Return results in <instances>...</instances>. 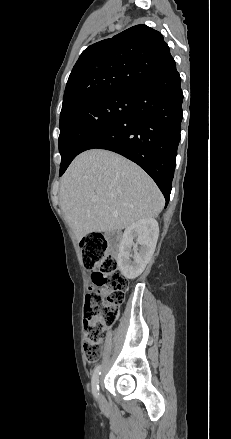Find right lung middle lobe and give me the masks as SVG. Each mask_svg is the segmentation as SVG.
Here are the masks:
<instances>
[{
	"mask_svg": "<svg viewBox=\"0 0 231 439\" xmlns=\"http://www.w3.org/2000/svg\"><path fill=\"white\" fill-rule=\"evenodd\" d=\"M133 93L105 94L84 100L60 114V171L79 154L82 145L97 131L130 112Z\"/></svg>",
	"mask_w": 231,
	"mask_h": 439,
	"instance_id": "dd1d6c3e",
	"label": "right lung middle lobe"
}]
</instances>
